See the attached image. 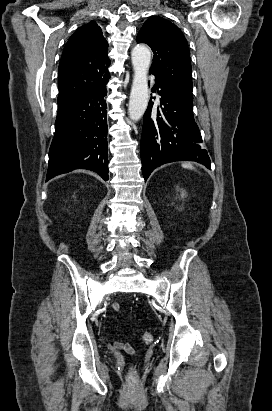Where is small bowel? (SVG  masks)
Masks as SVG:
<instances>
[{"mask_svg":"<svg viewBox=\"0 0 272 411\" xmlns=\"http://www.w3.org/2000/svg\"><path fill=\"white\" fill-rule=\"evenodd\" d=\"M112 309L114 311H118L120 309V306L118 303H114L112 304ZM111 348L114 351H118V350H123L127 353H132L133 352V348L130 344L128 343H123V342H119V341H115L111 344Z\"/></svg>","mask_w":272,"mask_h":411,"instance_id":"1","label":"small bowel"}]
</instances>
